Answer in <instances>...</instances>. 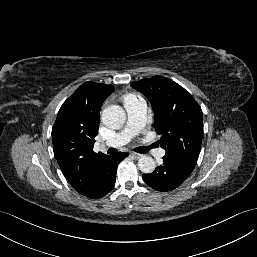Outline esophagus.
Masks as SVG:
<instances>
[{
    "mask_svg": "<svg viewBox=\"0 0 257 257\" xmlns=\"http://www.w3.org/2000/svg\"><path fill=\"white\" fill-rule=\"evenodd\" d=\"M130 154H131L135 159H139V158L142 156V154L135 153V152H131Z\"/></svg>",
    "mask_w": 257,
    "mask_h": 257,
    "instance_id": "obj_1",
    "label": "esophagus"
}]
</instances>
